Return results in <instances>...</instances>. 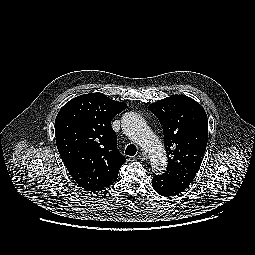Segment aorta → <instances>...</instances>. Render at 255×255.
<instances>
[{"instance_id": "1", "label": "aorta", "mask_w": 255, "mask_h": 255, "mask_svg": "<svg viewBox=\"0 0 255 255\" xmlns=\"http://www.w3.org/2000/svg\"><path fill=\"white\" fill-rule=\"evenodd\" d=\"M121 123L124 134L149 155L152 170L157 174L163 173L167 165L164 146L143 117L135 112H126Z\"/></svg>"}]
</instances>
